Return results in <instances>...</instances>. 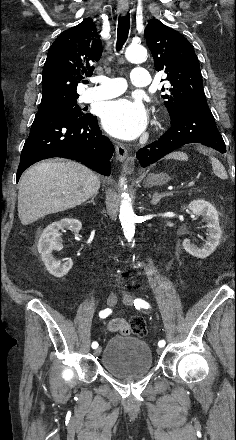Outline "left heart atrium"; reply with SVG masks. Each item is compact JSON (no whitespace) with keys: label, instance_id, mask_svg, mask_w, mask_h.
<instances>
[{"label":"left heart atrium","instance_id":"left-heart-atrium-1","mask_svg":"<svg viewBox=\"0 0 236 440\" xmlns=\"http://www.w3.org/2000/svg\"><path fill=\"white\" fill-rule=\"evenodd\" d=\"M102 124L104 129L114 137L134 139L145 128L146 111L140 102L121 98L105 106Z\"/></svg>","mask_w":236,"mask_h":440}]
</instances>
